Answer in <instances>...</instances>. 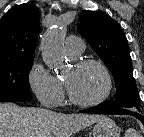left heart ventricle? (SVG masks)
Returning <instances> with one entry per match:
<instances>
[{
  "label": "left heart ventricle",
  "instance_id": "1",
  "mask_svg": "<svg viewBox=\"0 0 144 137\" xmlns=\"http://www.w3.org/2000/svg\"><path fill=\"white\" fill-rule=\"evenodd\" d=\"M73 96L80 101L95 100L102 95L105 89V77L94 66L76 68L72 66L64 75Z\"/></svg>",
  "mask_w": 144,
  "mask_h": 137
}]
</instances>
